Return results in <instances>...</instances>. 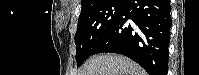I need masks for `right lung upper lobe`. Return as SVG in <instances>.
<instances>
[{"label": "right lung upper lobe", "mask_w": 199, "mask_h": 75, "mask_svg": "<svg viewBox=\"0 0 199 75\" xmlns=\"http://www.w3.org/2000/svg\"><path fill=\"white\" fill-rule=\"evenodd\" d=\"M104 1V0H82L81 1V10H85L87 8H90L96 4H98L99 2Z\"/></svg>", "instance_id": "cb5924a9"}]
</instances>
